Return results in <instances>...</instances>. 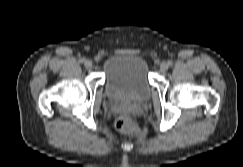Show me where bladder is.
<instances>
[{
    "mask_svg": "<svg viewBox=\"0 0 243 167\" xmlns=\"http://www.w3.org/2000/svg\"><path fill=\"white\" fill-rule=\"evenodd\" d=\"M105 91L109 99L121 102H141L149 98L147 64L136 55L118 54L104 64Z\"/></svg>",
    "mask_w": 243,
    "mask_h": 167,
    "instance_id": "obj_1",
    "label": "bladder"
}]
</instances>
